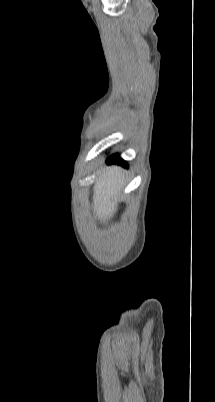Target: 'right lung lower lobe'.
Instances as JSON below:
<instances>
[{"mask_svg": "<svg viewBox=\"0 0 215 402\" xmlns=\"http://www.w3.org/2000/svg\"><path fill=\"white\" fill-rule=\"evenodd\" d=\"M106 162L108 164L109 163H118V164H121L123 166H127V163L123 159H121L119 157V154H114V155L110 156L109 158H107Z\"/></svg>", "mask_w": 215, "mask_h": 402, "instance_id": "98d812e1", "label": "right lung lower lobe"}]
</instances>
